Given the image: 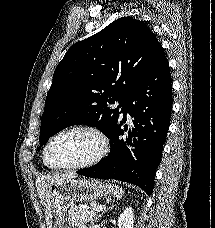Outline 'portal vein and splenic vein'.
I'll return each mask as SVG.
<instances>
[{"label": "portal vein and splenic vein", "instance_id": "18ae733b", "mask_svg": "<svg viewBox=\"0 0 215 228\" xmlns=\"http://www.w3.org/2000/svg\"><path fill=\"white\" fill-rule=\"evenodd\" d=\"M93 210V212H99V210H106V206H92V208H90V206H80L79 210Z\"/></svg>", "mask_w": 215, "mask_h": 228}]
</instances>
